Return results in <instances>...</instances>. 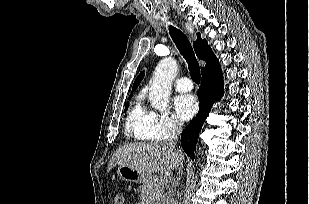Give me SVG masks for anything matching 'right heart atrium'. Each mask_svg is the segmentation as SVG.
Instances as JSON below:
<instances>
[{
  "instance_id": "1",
  "label": "right heart atrium",
  "mask_w": 309,
  "mask_h": 204,
  "mask_svg": "<svg viewBox=\"0 0 309 204\" xmlns=\"http://www.w3.org/2000/svg\"><path fill=\"white\" fill-rule=\"evenodd\" d=\"M182 128V122L171 112H151V123L149 126V135L151 139H169L179 134Z\"/></svg>"
}]
</instances>
